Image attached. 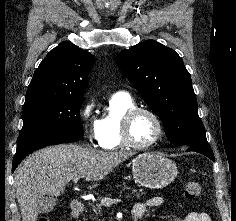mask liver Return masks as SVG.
Wrapping results in <instances>:
<instances>
[{
  "mask_svg": "<svg viewBox=\"0 0 236 221\" xmlns=\"http://www.w3.org/2000/svg\"><path fill=\"white\" fill-rule=\"evenodd\" d=\"M132 155L131 152L98 151L76 144L50 146L31 154L18 166L14 176L22 221L37 220L44 195L60 196L75 178L98 182Z\"/></svg>",
  "mask_w": 236,
  "mask_h": 221,
  "instance_id": "obj_1",
  "label": "liver"
}]
</instances>
